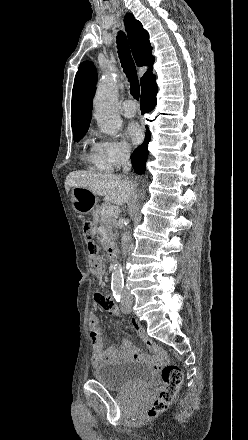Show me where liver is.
Segmentation results:
<instances>
[{"mask_svg": "<svg viewBox=\"0 0 248 440\" xmlns=\"http://www.w3.org/2000/svg\"><path fill=\"white\" fill-rule=\"evenodd\" d=\"M73 187L85 188L95 195L104 196L105 201L117 205L127 203L133 190L132 182L123 179L120 175L87 171H74L66 177V192Z\"/></svg>", "mask_w": 248, "mask_h": 440, "instance_id": "6515ba94", "label": "liver"}]
</instances>
